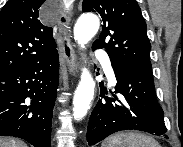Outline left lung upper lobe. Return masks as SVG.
Returning a JSON list of instances; mask_svg holds the SVG:
<instances>
[{"label":"left lung upper lobe","mask_w":183,"mask_h":147,"mask_svg":"<svg viewBox=\"0 0 183 147\" xmlns=\"http://www.w3.org/2000/svg\"><path fill=\"white\" fill-rule=\"evenodd\" d=\"M83 12L100 15L103 25L92 48H106L110 60L153 76L151 44L136 0H83Z\"/></svg>","instance_id":"5c2ea615"}]
</instances>
